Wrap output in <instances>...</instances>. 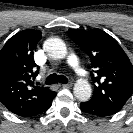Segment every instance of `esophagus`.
<instances>
[{"instance_id":"34e87169","label":"esophagus","mask_w":133,"mask_h":133,"mask_svg":"<svg viewBox=\"0 0 133 133\" xmlns=\"http://www.w3.org/2000/svg\"><path fill=\"white\" fill-rule=\"evenodd\" d=\"M61 86L64 87V88L71 87L72 86V82H69L67 84H61Z\"/></svg>"}]
</instances>
